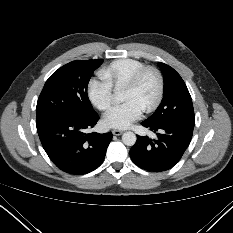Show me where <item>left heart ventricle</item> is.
I'll return each mask as SVG.
<instances>
[{
	"mask_svg": "<svg viewBox=\"0 0 233 233\" xmlns=\"http://www.w3.org/2000/svg\"><path fill=\"white\" fill-rule=\"evenodd\" d=\"M156 94V78L154 75L148 74L137 88L125 87L123 101H135L145 109L155 99Z\"/></svg>",
	"mask_w": 233,
	"mask_h": 233,
	"instance_id": "b2bd125f",
	"label": "left heart ventricle"
}]
</instances>
